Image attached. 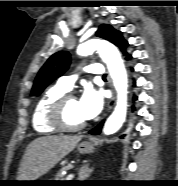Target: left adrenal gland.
I'll return each instance as SVG.
<instances>
[{"label": "left adrenal gland", "mask_w": 178, "mask_h": 186, "mask_svg": "<svg viewBox=\"0 0 178 186\" xmlns=\"http://www.w3.org/2000/svg\"><path fill=\"white\" fill-rule=\"evenodd\" d=\"M92 171H93V168H89V164L83 165L79 169L78 181H85V179L90 176Z\"/></svg>", "instance_id": "a2214340"}]
</instances>
